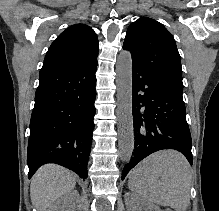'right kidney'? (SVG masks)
<instances>
[{
	"label": "right kidney",
	"mask_w": 219,
	"mask_h": 211,
	"mask_svg": "<svg viewBox=\"0 0 219 211\" xmlns=\"http://www.w3.org/2000/svg\"><path fill=\"white\" fill-rule=\"evenodd\" d=\"M66 201L67 199L64 195L63 197H59V199H56V201L48 207L47 211H65ZM70 201H72V199H70Z\"/></svg>",
	"instance_id": "1"
}]
</instances>
